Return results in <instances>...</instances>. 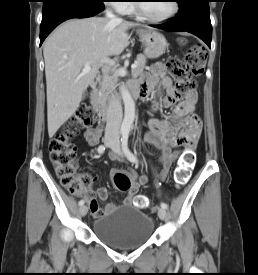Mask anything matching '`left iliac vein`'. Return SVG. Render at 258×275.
<instances>
[{
    "label": "left iliac vein",
    "mask_w": 258,
    "mask_h": 275,
    "mask_svg": "<svg viewBox=\"0 0 258 275\" xmlns=\"http://www.w3.org/2000/svg\"><path fill=\"white\" fill-rule=\"evenodd\" d=\"M112 151L119 157H123V152H122V149L120 147V142L118 139H115L112 143V145L110 146ZM158 215H159V218L161 220H165L167 218V212L164 208H160L159 211H158Z\"/></svg>",
    "instance_id": "left-iliac-vein-1"
}]
</instances>
